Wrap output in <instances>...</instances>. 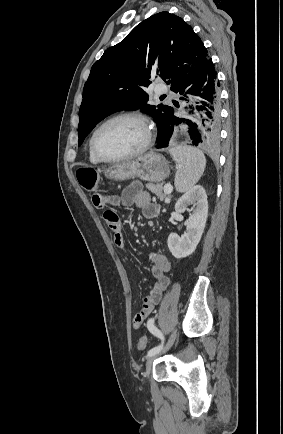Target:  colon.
<instances>
[{
	"mask_svg": "<svg viewBox=\"0 0 283 434\" xmlns=\"http://www.w3.org/2000/svg\"><path fill=\"white\" fill-rule=\"evenodd\" d=\"M77 179L84 190L90 193L96 192L99 178L95 170L90 168H81L77 171ZM147 343V336L142 335L137 342V348L139 350H144L147 346Z\"/></svg>",
	"mask_w": 283,
	"mask_h": 434,
	"instance_id": "1",
	"label": "colon"
}]
</instances>
